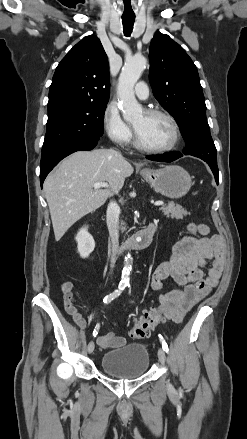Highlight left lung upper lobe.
I'll return each mask as SVG.
<instances>
[{
    "label": "left lung upper lobe",
    "instance_id": "left-lung-upper-lobe-1",
    "mask_svg": "<svg viewBox=\"0 0 247 439\" xmlns=\"http://www.w3.org/2000/svg\"><path fill=\"white\" fill-rule=\"evenodd\" d=\"M149 79L157 101L173 116L186 142V153L218 170L217 152L206 120L197 68L168 35L155 33L149 50Z\"/></svg>",
    "mask_w": 247,
    "mask_h": 439
}]
</instances>
